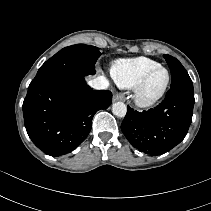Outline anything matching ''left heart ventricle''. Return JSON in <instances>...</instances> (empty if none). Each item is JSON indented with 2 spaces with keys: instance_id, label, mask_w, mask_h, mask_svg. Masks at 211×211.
Returning a JSON list of instances; mask_svg holds the SVG:
<instances>
[{
  "instance_id": "obj_1",
  "label": "left heart ventricle",
  "mask_w": 211,
  "mask_h": 211,
  "mask_svg": "<svg viewBox=\"0 0 211 211\" xmlns=\"http://www.w3.org/2000/svg\"><path fill=\"white\" fill-rule=\"evenodd\" d=\"M167 78V74L164 70H159L155 72L150 80L148 81L147 87H146V93L147 95H154L156 94L164 85Z\"/></svg>"
}]
</instances>
